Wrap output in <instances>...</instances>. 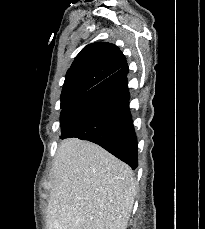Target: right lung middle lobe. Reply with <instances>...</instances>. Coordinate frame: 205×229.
Wrapping results in <instances>:
<instances>
[{
  "instance_id": "obj_1",
  "label": "right lung middle lobe",
  "mask_w": 205,
  "mask_h": 229,
  "mask_svg": "<svg viewBox=\"0 0 205 229\" xmlns=\"http://www.w3.org/2000/svg\"><path fill=\"white\" fill-rule=\"evenodd\" d=\"M76 100V99H75ZM75 100H66V101H61V109L66 108L69 106L71 103H73Z\"/></svg>"
}]
</instances>
